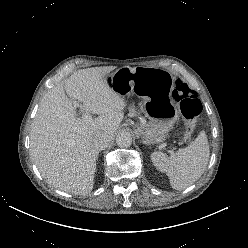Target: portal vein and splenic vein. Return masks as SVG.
Masks as SVG:
<instances>
[{
    "instance_id": "1",
    "label": "portal vein and splenic vein",
    "mask_w": 248,
    "mask_h": 248,
    "mask_svg": "<svg viewBox=\"0 0 248 248\" xmlns=\"http://www.w3.org/2000/svg\"><path fill=\"white\" fill-rule=\"evenodd\" d=\"M82 118L86 121L91 120V116L88 113H83Z\"/></svg>"
}]
</instances>
